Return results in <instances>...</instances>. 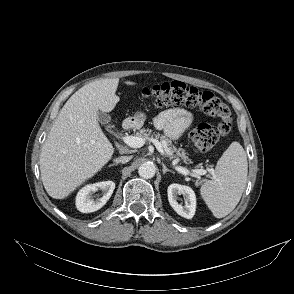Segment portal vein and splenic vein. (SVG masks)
<instances>
[{"instance_id": "obj_1", "label": "portal vein and splenic vein", "mask_w": 294, "mask_h": 294, "mask_svg": "<svg viewBox=\"0 0 294 294\" xmlns=\"http://www.w3.org/2000/svg\"><path fill=\"white\" fill-rule=\"evenodd\" d=\"M122 141L127 144L128 146L132 148H140L145 144V139L136 137V136H130V135H125L122 138ZM153 144L155 145L156 149L159 151V153L163 156L166 157V155L169 153V150L166 149L161 142H159L157 139H151ZM177 160H174L172 162L173 168L180 174L184 176H189L191 174L195 175H204L206 173L205 170L203 169H193L192 171L188 170L185 167L182 166H177L176 165Z\"/></svg>"}]
</instances>
